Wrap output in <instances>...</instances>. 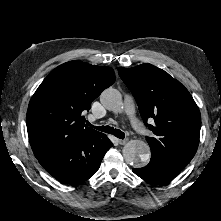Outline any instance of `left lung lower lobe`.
<instances>
[{"label": "left lung lower lobe", "mask_w": 221, "mask_h": 221, "mask_svg": "<svg viewBox=\"0 0 221 221\" xmlns=\"http://www.w3.org/2000/svg\"><path fill=\"white\" fill-rule=\"evenodd\" d=\"M181 170V168L159 158L151 157L148 165L143 168L133 169V172L148 183L165 184L174 179Z\"/></svg>", "instance_id": "obj_1"}]
</instances>
